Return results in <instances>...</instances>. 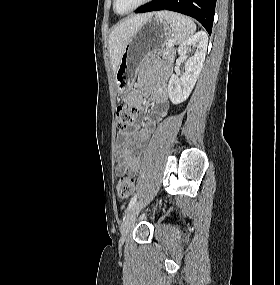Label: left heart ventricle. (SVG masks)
<instances>
[{
	"mask_svg": "<svg viewBox=\"0 0 280 285\" xmlns=\"http://www.w3.org/2000/svg\"><path fill=\"white\" fill-rule=\"evenodd\" d=\"M141 1L142 0H117V10L119 12H126Z\"/></svg>",
	"mask_w": 280,
	"mask_h": 285,
	"instance_id": "b2bd125f",
	"label": "left heart ventricle"
}]
</instances>
